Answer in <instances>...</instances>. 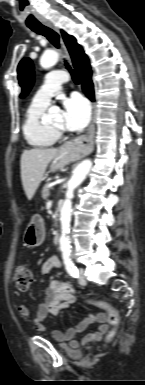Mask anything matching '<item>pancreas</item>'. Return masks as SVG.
<instances>
[{"instance_id":"1","label":"pancreas","mask_w":145,"mask_h":385,"mask_svg":"<svg viewBox=\"0 0 145 385\" xmlns=\"http://www.w3.org/2000/svg\"><path fill=\"white\" fill-rule=\"evenodd\" d=\"M49 196H50V190H49V187L46 185L42 190V197L44 200H47Z\"/></svg>"}]
</instances>
